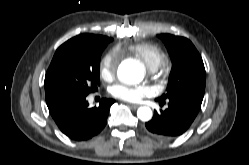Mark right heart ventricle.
<instances>
[{"mask_svg":"<svg viewBox=\"0 0 249 165\" xmlns=\"http://www.w3.org/2000/svg\"><path fill=\"white\" fill-rule=\"evenodd\" d=\"M128 50L138 56L151 71H156L168 59L166 52L153 43L131 44Z\"/></svg>","mask_w":249,"mask_h":165,"instance_id":"obj_1","label":"right heart ventricle"}]
</instances>
